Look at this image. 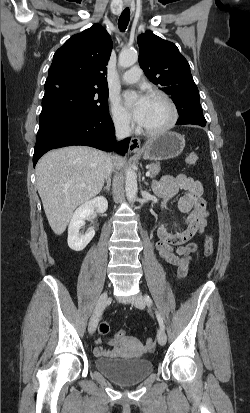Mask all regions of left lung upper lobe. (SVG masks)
Segmentation results:
<instances>
[{
    "label": "left lung upper lobe",
    "instance_id": "1",
    "mask_svg": "<svg viewBox=\"0 0 250 413\" xmlns=\"http://www.w3.org/2000/svg\"><path fill=\"white\" fill-rule=\"evenodd\" d=\"M139 64L148 79L159 84L173 99L177 109L202 111L199 92L190 72V66L177 46L151 31L138 37Z\"/></svg>",
    "mask_w": 250,
    "mask_h": 413
}]
</instances>
